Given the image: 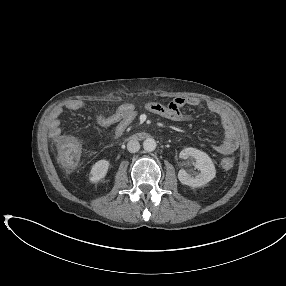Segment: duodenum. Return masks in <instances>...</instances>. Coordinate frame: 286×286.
Returning <instances> with one entry per match:
<instances>
[{"instance_id": "obj_1", "label": "duodenum", "mask_w": 286, "mask_h": 286, "mask_svg": "<svg viewBox=\"0 0 286 286\" xmlns=\"http://www.w3.org/2000/svg\"><path fill=\"white\" fill-rule=\"evenodd\" d=\"M146 134H144V133H138V134H136L135 136H134V138L135 139H144V138H146Z\"/></svg>"}]
</instances>
